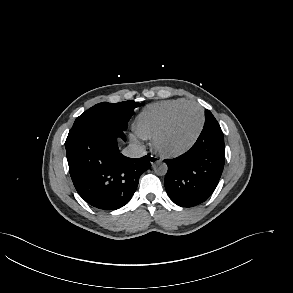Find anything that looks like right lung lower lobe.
<instances>
[{
    "mask_svg": "<svg viewBox=\"0 0 293 293\" xmlns=\"http://www.w3.org/2000/svg\"><path fill=\"white\" fill-rule=\"evenodd\" d=\"M123 131L103 129L66 147L69 172L79 195L90 205L115 210L126 205L137 189L140 175L150 168L149 158L122 155L117 138Z\"/></svg>",
    "mask_w": 293,
    "mask_h": 293,
    "instance_id": "1",
    "label": "right lung lower lobe"
}]
</instances>
